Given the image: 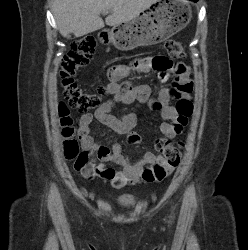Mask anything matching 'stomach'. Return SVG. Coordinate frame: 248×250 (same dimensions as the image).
I'll use <instances>...</instances> for the list:
<instances>
[{
    "label": "stomach",
    "mask_w": 248,
    "mask_h": 250,
    "mask_svg": "<svg viewBox=\"0 0 248 250\" xmlns=\"http://www.w3.org/2000/svg\"><path fill=\"white\" fill-rule=\"evenodd\" d=\"M192 12L186 0H159L133 20L112 27L104 40L121 51L165 41L190 22Z\"/></svg>",
    "instance_id": "obj_1"
}]
</instances>
